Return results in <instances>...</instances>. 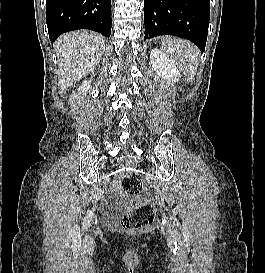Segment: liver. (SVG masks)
Here are the masks:
<instances>
[{"label": "liver", "mask_w": 265, "mask_h": 273, "mask_svg": "<svg viewBox=\"0 0 265 273\" xmlns=\"http://www.w3.org/2000/svg\"><path fill=\"white\" fill-rule=\"evenodd\" d=\"M54 48L60 69L59 87L64 91L95 69L105 45L98 33L79 30L60 36Z\"/></svg>", "instance_id": "liver-1"}]
</instances>
